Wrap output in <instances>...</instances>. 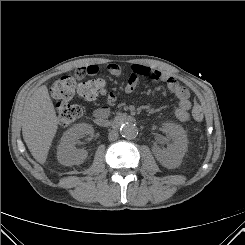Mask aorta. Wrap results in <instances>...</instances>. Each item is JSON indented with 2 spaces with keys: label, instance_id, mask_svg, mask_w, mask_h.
Wrapping results in <instances>:
<instances>
[{
  "label": "aorta",
  "instance_id": "762f6f07",
  "mask_svg": "<svg viewBox=\"0 0 245 245\" xmlns=\"http://www.w3.org/2000/svg\"><path fill=\"white\" fill-rule=\"evenodd\" d=\"M120 133L124 138L131 139L137 136L138 129L134 124L125 123L121 126Z\"/></svg>",
  "mask_w": 245,
  "mask_h": 245
}]
</instances>
